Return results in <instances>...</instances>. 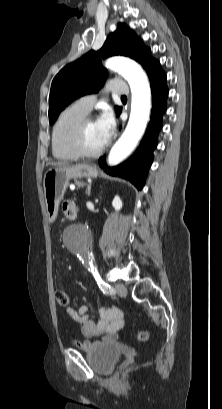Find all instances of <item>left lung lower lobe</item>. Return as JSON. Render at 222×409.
<instances>
[{"mask_svg": "<svg viewBox=\"0 0 222 409\" xmlns=\"http://www.w3.org/2000/svg\"><path fill=\"white\" fill-rule=\"evenodd\" d=\"M152 89V112L148 128L135 153L119 166L110 168L105 164V156L99 159V165L112 176L128 179L137 189L141 190L153 160V150L157 145L158 132L162 127V115L166 111L168 89L166 75L160 71L150 78ZM121 110L117 115H119Z\"/></svg>", "mask_w": 222, "mask_h": 409, "instance_id": "left-lung-lower-lobe-1", "label": "left lung lower lobe"}]
</instances>
